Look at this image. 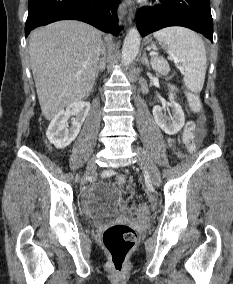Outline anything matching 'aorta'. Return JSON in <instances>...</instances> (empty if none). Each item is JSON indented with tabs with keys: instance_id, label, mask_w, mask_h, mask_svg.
<instances>
[{
	"instance_id": "obj_1",
	"label": "aorta",
	"mask_w": 233,
	"mask_h": 284,
	"mask_svg": "<svg viewBox=\"0 0 233 284\" xmlns=\"http://www.w3.org/2000/svg\"><path fill=\"white\" fill-rule=\"evenodd\" d=\"M140 33L134 27L131 28L124 40L122 48V63L124 65L130 64L137 56L140 48Z\"/></svg>"
}]
</instances>
